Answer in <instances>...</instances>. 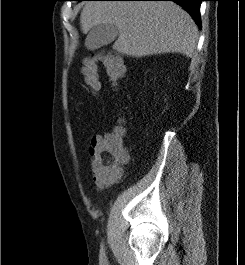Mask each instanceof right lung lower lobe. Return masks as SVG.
<instances>
[{
    "mask_svg": "<svg viewBox=\"0 0 245 265\" xmlns=\"http://www.w3.org/2000/svg\"><path fill=\"white\" fill-rule=\"evenodd\" d=\"M123 1H173L186 9L196 24L201 27L200 4L203 0H123Z\"/></svg>",
    "mask_w": 245,
    "mask_h": 265,
    "instance_id": "1",
    "label": "right lung lower lobe"
}]
</instances>
